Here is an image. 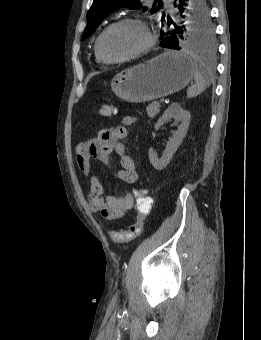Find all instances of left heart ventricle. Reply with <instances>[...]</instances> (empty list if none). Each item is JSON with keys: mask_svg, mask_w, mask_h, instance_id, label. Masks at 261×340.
I'll return each instance as SVG.
<instances>
[{"mask_svg": "<svg viewBox=\"0 0 261 340\" xmlns=\"http://www.w3.org/2000/svg\"><path fill=\"white\" fill-rule=\"evenodd\" d=\"M146 41L144 31L137 25L125 23L109 30L102 39L101 48L109 58H119L140 49Z\"/></svg>", "mask_w": 261, "mask_h": 340, "instance_id": "obj_1", "label": "left heart ventricle"}]
</instances>
